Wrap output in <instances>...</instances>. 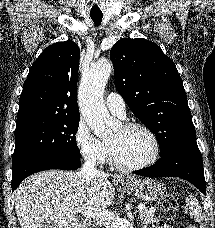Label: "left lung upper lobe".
I'll list each match as a JSON object with an SVG mask.
<instances>
[{"instance_id":"5c2ea615","label":"left lung upper lobe","mask_w":215,"mask_h":228,"mask_svg":"<svg viewBox=\"0 0 215 228\" xmlns=\"http://www.w3.org/2000/svg\"><path fill=\"white\" fill-rule=\"evenodd\" d=\"M115 87L134 115L155 135L161 156L195 139L182 79L154 42L120 39L110 51Z\"/></svg>"}]
</instances>
